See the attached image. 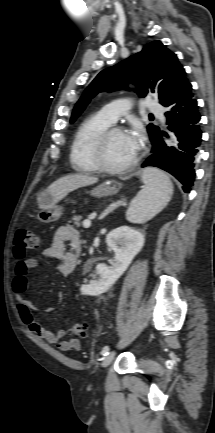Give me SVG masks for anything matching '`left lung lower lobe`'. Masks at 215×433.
<instances>
[{
  "label": "left lung lower lobe",
  "mask_w": 215,
  "mask_h": 433,
  "mask_svg": "<svg viewBox=\"0 0 215 433\" xmlns=\"http://www.w3.org/2000/svg\"><path fill=\"white\" fill-rule=\"evenodd\" d=\"M162 105L169 109L165 115L168 129L172 133L168 135L158 131L151 139L152 155L142 167L154 166L169 172L183 184L184 192L189 193L195 179L202 131L197 100L186 77L171 91ZM163 136L167 139H163Z\"/></svg>",
  "instance_id": "left-lung-lower-lobe-1"
}]
</instances>
